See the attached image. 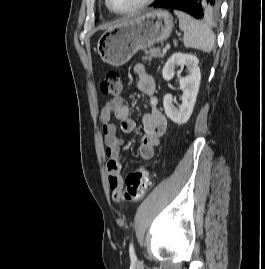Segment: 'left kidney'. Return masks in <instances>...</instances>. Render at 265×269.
I'll list each match as a JSON object with an SVG mask.
<instances>
[{"mask_svg":"<svg viewBox=\"0 0 265 269\" xmlns=\"http://www.w3.org/2000/svg\"><path fill=\"white\" fill-rule=\"evenodd\" d=\"M198 59L194 55L174 53L163 67L162 75L166 81H170L175 76V67L187 66L188 75L180 79V88L184 91L182 96V104L179 109L173 106V98L171 94L165 95L163 106L167 117L177 124L186 123L192 112L196 102V97L200 85V68L198 67Z\"/></svg>","mask_w":265,"mask_h":269,"instance_id":"5707ae66","label":"left kidney"}]
</instances>
